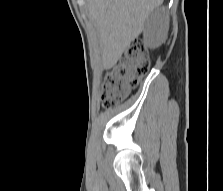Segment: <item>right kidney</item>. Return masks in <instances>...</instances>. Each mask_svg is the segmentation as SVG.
Wrapping results in <instances>:
<instances>
[{"label":"right kidney","instance_id":"ca27d5eb","mask_svg":"<svg viewBox=\"0 0 223 191\" xmlns=\"http://www.w3.org/2000/svg\"><path fill=\"white\" fill-rule=\"evenodd\" d=\"M168 32L167 11L164 7L159 8L147 20L144 38L151 48L158 47L165 39Z\"/></svg>","mask_w":223,"mask_h":191}]
</instances>
